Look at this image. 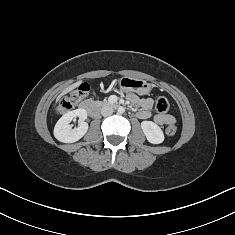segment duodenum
<instances>
[{
  "mask_svg": "<svg viewBox=\"0 0 235 235\" xmlns=\"http://www.w3.org/2000/svg\"><path fill=\"white\" fill-rule=\"evenodd\" d=\"M115 108L118 107V105H113ZM81 109L87 111L91 116H96L98 114L99 111V106L95 105L93 102L91 101H84L81 104Z\"/></svg>",
  "mask_w": 235,
  "mask_h": 235,
  "instance_id": "410a0bca",
  "label": "duodenum"
}]
</instances>
